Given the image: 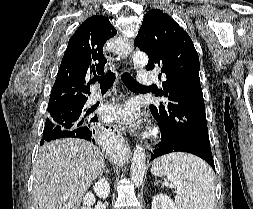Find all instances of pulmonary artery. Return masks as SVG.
<instances>
[{
	"label": "pulmonary artery",
	"instance_id": "1",
	"mask_svg": "<svg viewBox=\"0 0 253 209\" xmlns=\"http://www.w3.org/2000/svg\"><path fill=\"white\" fill-rule=\"evenodd\" d=\"M138 81L140 84H151V83H153L152 74L149 71H142L138 75ZM108 95L109 94L102 95L101 93H98V92L93 93L89 97L88 102L90 104H93V103L97 102L98 100H100L101 98L107 97Z\"/></svg>",
	"mask_w": 253,
	"mask_h": 209
}]
</instances>
